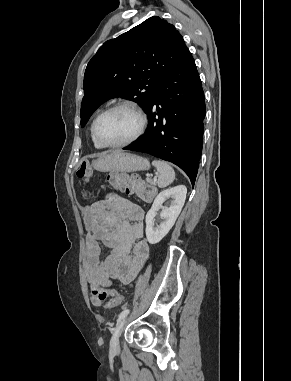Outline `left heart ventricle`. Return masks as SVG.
Returning a JSON list of instances; mask_svg holds the SVG:
<instances>
[{
	"instance_id": "obj_1",
	"label": "left heart ventricle",
	"mask_w": 291,
	"mask_h": 381,
	"mask_svg": "<svg viewBox=\"0 0 291 381\" xmlns=\"http://www.w3.org/2000/svg\"><path fill=\"white\" fill-rule=\"evenodd\" d=\"M138 126L139 118L136 113L128 108H120L103 117L98 130L106 142L119 143L130 138Z\"/></svg>"
}]
</instances>
